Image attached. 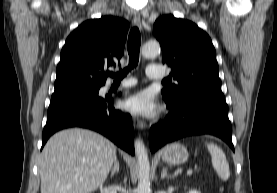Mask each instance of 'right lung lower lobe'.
I'll use <instances>...</instances> for the list:
<instances>
[{
    "instance_id": "1",
    "label": "right lung lower lobe",
    "mask_w": 277,
    "mask_h": 193,
    "mask_svg": "<svg viewBox=\"0 0 277 193\" xmlns=\"http://www.w3.org/2000/svg\"><path fill=\"white\" fill-rule=\"evenodd\" d=\"M113 100L100 97L98 91H56L51 97L42 147L55 132L69 127L97 131L117 146L134 155V130L129 114L112 107Z\"/></svg>"
}]
</instances>
